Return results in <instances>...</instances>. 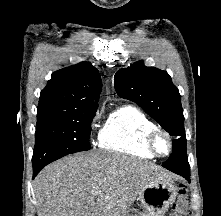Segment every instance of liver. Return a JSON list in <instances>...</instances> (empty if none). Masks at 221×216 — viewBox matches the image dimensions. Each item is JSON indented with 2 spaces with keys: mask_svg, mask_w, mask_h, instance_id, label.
Returning <instances> with one entry per match:
<instances>
[{
  "mask_svg": "<svg viewBox=\"0 0 221 216\" xmlns=\"http://www.w3.org/2000/svg\"><path fill=\"white\" fill-rule=\"evenodd\" d=\"M171 179L153 163L116 153L91 151L65 157L36 177L38 216H123L143 186Z\"/></svg>",
  "mask_w": 221,
  "mask_h": 216,
  "instance_id": "obj_1",
  "label": "liver"
}]
</instances>
